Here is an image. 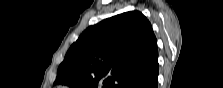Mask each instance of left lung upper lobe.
<instances>
[{
    "instance_id": "obj_1",
    "label": "left lung upper lobe",
    "mask_w": 223,
    "mask_h": 88,
    "mask_svg": "<svg viewBox=\"0 0 223 88\" xmlns=\"http://www.w3.org/2000/svg\"><path fill=\"white\" fill-rule=\"evenodd\" d=\"M158 60L156 37L139 11L88 27L69 48L54 84L73 88H129Z\"/></svg>"
}]
</instances>
